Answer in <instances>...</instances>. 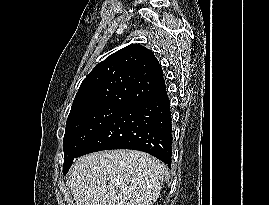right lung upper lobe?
Listing matches in <instances>:
<instances>
[{"instance_id":"right-lung-upper-lobe-1","label":"right lung upper lobe","mask_w":269,"mask_h":205,"mask_svg":"<svg viewBox=\"0 0 269 205\" xmlns=\"http://www.w3.org/2000/svg\"><path fill=\"white\" fill-rule=\"evenodd\" d=\"M165 90L163 71L153 52L132 44L94 67L81 83L71 111L103 103L130 106Z\"/></svg>"}]
</instances>
